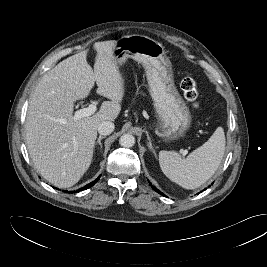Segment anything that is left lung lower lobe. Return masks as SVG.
Segmentation results:
<instances>
[{
  "instance_id": "left-lung-lower-lobe-1",
  "label": "left lung lower lobe",
  "mask_w": 267,
  "mask_h": 267,
  "mask_svg": "<svg viewBox=\"0 0 267 267\" xmlns=\"http://www.w3.org/2000/svg\"><path fill=\"white\" fill-rule=\"evenodd\" d=\"M149 184L156 192H158L159 194L164 196V194L162 192H160L157 188H155L150 182H149Z\"/></svg>"
}]
</instances>
